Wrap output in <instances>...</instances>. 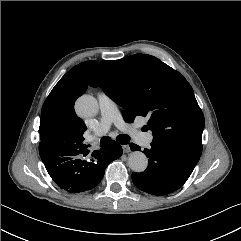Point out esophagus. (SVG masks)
<instances>
[{
  "label": "esophagus",
  "instance_id": "1",
  "mask_svg": "<svg viewBox=\"0 0 241 241\" xmlns=\"http://www.w3.org/2000/svg\"><path fill=\"white\" fill-rule=\"evenodd\" d=\"M122 149L124 153H129L130 152V147L129 145H122Z\"/></svg>",
  "mask_w": 241,
  "mask_h": 241
}]
</instances>
